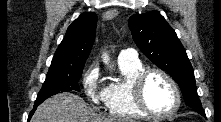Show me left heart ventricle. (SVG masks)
I'll return each mask as SVG.
<instances>
[{
	"label": "left heart ventricle",
	"instance_id": "left-heart-ventricle-1",
	"mask_svg": "<svg viewBox=\"0 0 221 122\" xmlns=\"http://www.w3.org/2000/svg\"><path fill=\"white\" fill-rule=\"evenodd\" d=\"M144 96L149 107L158 113L170 111L175 104L172 87L158 74L148 78L144 87Z\"/></svg>",
	"mask_w": 221,
	"mask_h": 122
}]
</instances>
